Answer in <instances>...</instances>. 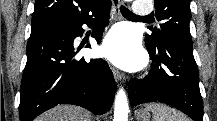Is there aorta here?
<instances>
[{"instance_id":"762f6f07","label":"aorta","mask_w":217,"mask_h":121,"mask_svg":"<svg viewBox=\"0 0 217 121\" xmlns=\"http://www.w3.org/2000/svg\"><path fill=\"white\" fill-rule=\"evenodd\" d=\"M128 112H129V106H128L126 92L124 91L123 88H121L119 89L115 97L113 121H128Z\"/></svg>"}]
</instances>
